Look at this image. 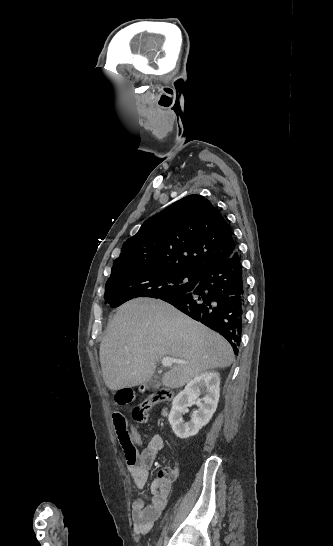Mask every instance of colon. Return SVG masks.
<instances>
[{
  "label": "colon",
  "instance_id": "5ec220e1",
  "mask_svg": "<svg viewBox=\"0 0 333 546\" xmlns=\"http://www.w3.org/2000/svg\"><path fill=\"white\" fill-rule=\"evenodd\" d=\"M172 397L173 394L168 389H160L156 391L149 398L145 399L134 408V419L138 423H146L148 420V412L152 408V406L158 402L168 401ZM116 400L121 405L129 404L133 400V393L131 391H122L117 395ZM112 420L117 439L121 448L123 449L125 457L127 459H134L138 451L136 445L130 437L125 417L121 413L115 412L112 415Z\"/></svg>",
  "mask_w": 333,
  "mask_h": 546
}]
</instances>
